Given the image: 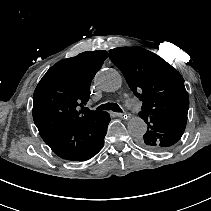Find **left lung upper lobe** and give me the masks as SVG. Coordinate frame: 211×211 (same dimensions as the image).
<instances>
[{"label":"left lung upper lobe","mask_w":211,"mask_h":211,"mask_svg":"<svg viewBox=\"0 0 211 211\" xmlns=\"http://www.w3.org/2000/svg\"><path fill=\"white\" fill-rule=\"evenodd\" d=\"M129 87L142 103L139 116L147 124L142 147L161 152L182 137L189 97L179 72L155 53L143 48L120 47L109 51Z\"/></svg>","instance_id":"obj_1"}]
</instances>
